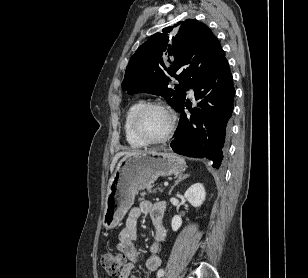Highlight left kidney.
Returning <instances> with one entry per match:
<instances>
[{
  "mask_svg": "<svg viewBox=\"0 0 308 278\" xmlns=\"http://www.w3.org/2000/svg\"><path fill=\"white\" fill-rule=\"evenodd\" d=\"M187 201L195 208L200 207L205 201L206 192L203 184L196 183L192 185L184 194ZM182 225V219L180 216L175 215L172 218L171 226L173 231H177Z\"/></svg>",
  "mask_w": 308,
  "mask_h": 278,
  "instance_id": "left-kidney-1",
  "label": "left kidney"
}]
</instances>
